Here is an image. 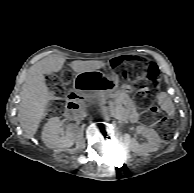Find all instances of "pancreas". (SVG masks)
Returning a JSON list of instances; mask_svg holds the SVG:
<instances>
[{
    "label": "pancreas",
    "instance_id": "1",
    "mask_svg": "<svg viewBox=\"0 0 194 193\" xmlns=\"http://www.w3.org/2000/svg\"><path fill=\"white\" fill-rule=\"evenodd\" d=\"M106 99L109 100V101H112L113 99H115V96H113V95H106V94H100V97H97L95 99V102L97 104H100V103H103Z\"/></svg>",
    "mask_w": 194,
    "mask_h": 193
}]
</instances>
